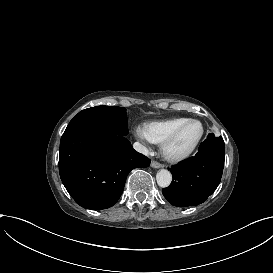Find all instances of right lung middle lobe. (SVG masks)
<instances>
[{"instance_id": "dd1d6c3e", "label": "right lung middle lobe", "mask_w": 273, "mask_h": 273, "mask_svg": "<svg viewBox=\"0 0 273 273\" xmlns=\"http://www.w3.org/2000/svg\"><path fill=\"white\" fill-rule=\"evenodd\" d=\"M125 108L116 106H96L79 112L68 124L66 130L78 127H93L117 135L128 134Z\"/></svg>"}]
</instances>
